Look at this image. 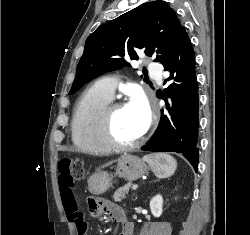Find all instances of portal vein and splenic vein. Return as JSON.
<instances>
[{"label":"portal vein and splenic vein","instance_id":"1","mask_svg":"<svg viewBox=\"0 0 250 235\" xmlns=\"http://www.w3.org/2000/svg\"><path fill=\"white\" fill-rule=\"evenodd\" d=\"M138 188V185H133L132 190H136Z\"/></svg>","mask_w":250,"mask_h":235}]
</instances>
